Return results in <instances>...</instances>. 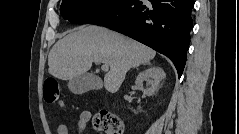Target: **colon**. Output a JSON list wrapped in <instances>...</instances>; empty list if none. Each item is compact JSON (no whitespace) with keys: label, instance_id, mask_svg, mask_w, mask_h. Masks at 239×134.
I'll list each match as a JSON object with an SVG mask.
<instances>
[{"label":"colon","instance_id":"5ec220e1","mask_svg":"<svg viewBox=\"0 0 239 134\" xmlns=\"http://www.w3.org/2000/svg\"><path fill=\"white\" fill-rule=\"evenodd\" d=\"M43 97L48 104L63 106L59 83L55 78L45 79ZM92 123L97 131L105 134H122L124 131L123 122L117 115L109 111H101L95 114Z\"/></svg>","mask_w":239,"mask_h":134}]
</instances>
